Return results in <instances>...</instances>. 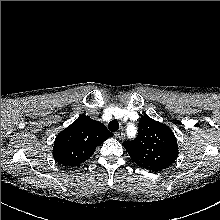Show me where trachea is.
I'll return each mask as SVG.
<instances>
[{
    "label": "trachea",
    "mask_w": 220,
    "mask_h": 220,
    "mask_svg": "<svg viewBox=\"0 0 220 220\" xmlns=\"http://www.w3.org/2000/svg\"><path fill=\"white\" fill-rule=\"evenodd\" d=\"M110 131H117L119 129V123L116 120H112L108 124Z\"/></svg>",
    "instance_id": "obj_1"
}]
</instances>
